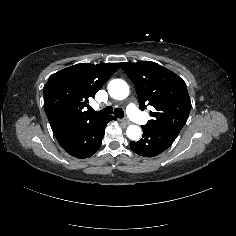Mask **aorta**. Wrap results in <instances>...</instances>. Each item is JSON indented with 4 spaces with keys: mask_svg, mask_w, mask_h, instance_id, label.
Here are the masks:
<instances>
[{
    "mask_svg": "<svg viewBox=\"0 0 236 236\" xmlns=\"http://www.w3.org/2000/svg\"><path fill=\"white\" fill-rule=\"evenodd\" d=\"M108 93L114 99L123 100L129 95V86L124 80L114 79L108 84ZM126 135L129 139L138 141L141 138L142 130L138 125H129Z\"/></svg>",
    "mask_w": 236,
    "mask_h": 236,
    "instance_id": "762f6f07",
    "label": "aorta"
}]
</instances>
